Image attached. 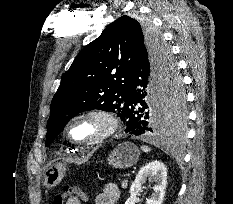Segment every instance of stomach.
<instances>
[{"label": "stomach", "mask_w": 233, "mask_h": 204, "mask_svg": "<svg viewBox=\"0 0 233 204\" xmlns=\"http://www.w3.org/2000/svg\"><path fill=\"white\" fill-rule=\"evenodd\" d=\"M139 149L130 142L119 144L108 156V164L116 169H125L135 165L139 159ZM66 167L62 163L49 165L43 175L42 183L46 188L58 185L65 177Z\"/></svg>", "instance_id": "1"}]
</instances>
